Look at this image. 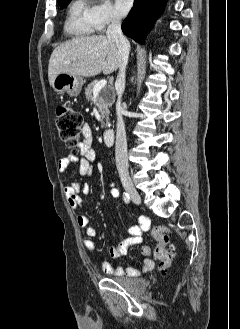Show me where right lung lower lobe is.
<instances>
[{"label":"right lung lower lobe","instance_id":"right-lung-lower-lobe-1","mask_svg":"<svg viewBox=\"0 0 240 329\" xmlns=\"http://www.w3.org/2000/svg\"><path fill=\"white\" fill-rule=\"evenodd\" d=\"M167 0H135L122 31L139 43H144L148 31L161 14Z\"/></svg>","mask_w":240,"mask_h":329}]
</instances>
